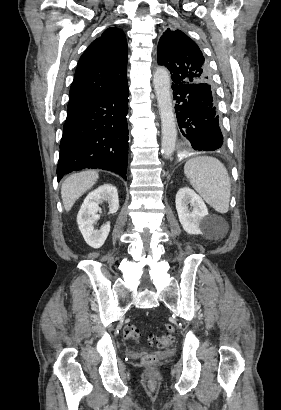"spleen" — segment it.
Returning a JSON list of instances; mask_svg holds the SVG:
<instances>
[{
	"label": "spleen",
	"instance_id": "3e777b00",
	"mask_svg": "<svg viewBox=\"0 0 281 410\" xmlns=\"http://www.w3.org/2000/svg\"><path fill=\"white\" fill-rule=\"evenodd\" d=\"M184 173L212 208L221 214L228 212L231 183L227 169L218 159L209 156L191 158L184 166Z\"/></svg>",
	"mask_w": 281,
	"mask_h": 410
}]
</instances>
